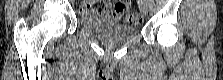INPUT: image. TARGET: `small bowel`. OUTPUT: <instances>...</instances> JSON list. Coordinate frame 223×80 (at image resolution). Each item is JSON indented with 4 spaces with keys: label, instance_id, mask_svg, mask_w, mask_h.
Here are the masks:
<instances>
[{
    "label": "small bowel",
    "instance_id": "1",
    "mask_svg": "<svg viewBox=\"0 0 223 80\" xmlns=\"http://www.w3.org/2000/svg\"><path fill=\"white\" fill-rule=\"evenodd\" d=\"M81 13L85 16L113 21L121 18V15L115 11V6L111 7L110 3H106L104 7L101 8H94L90 3H86L82 6Z\"/></svg>",
    "mask_w": 223,
    "mask_h": 80
}]
</instances>
